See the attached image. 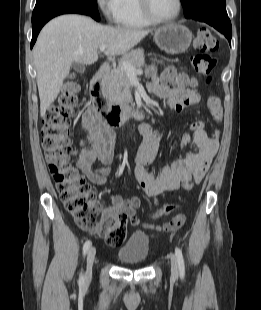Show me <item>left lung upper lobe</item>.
<instances>
[{
  "label": "left lung upper lobe",
  "instance_id": "obj_1",
  "mask_svg": "<svg viewBox=\"0 0 261 310\" xmlns=\"http://www.w3.org/2000/svg\"><path fill=\"white\" fill-rule=\"evenodd\" d=\"M186 18L200 20L228 16L226 0H181Z\"/></svg>",
  "mask_w": 261,
  "mask_h": 310
}]
</instances>
